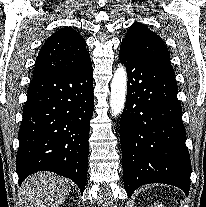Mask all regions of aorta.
Instances as JSON below:
<instances>
[{"label": "aorta", "mask_w": 206, "mask_h": 207, "mask_svg": "<svg viewBox=\"0 0 206 207\" xmlns=\"http://www.w3.org/2000/svg\"><path fill=\"white\" fill-rule=\"evenodd\" d=\"M127 91V74L123 66H119L111 82L110 108L112 116H118L124 108Z\"/></svg>", "instance_id": "762f6f07"}]
</instances>
